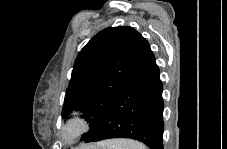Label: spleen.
Instances as JSON below:
<instances>
[{
	"mask_svg": "<svg viewBox=\"0 0 227 149\" xmlns=\"http://www.w3.org/2000/svg\"><path fill=\"white\" fill-rule=\"evenodd\" d=\"M103 149H145L142 143L130 139H115L99 143Z\"/></svg>",
	"mask_w": 227,
	"mask_h": 149,
	"instance_id": "3e777b00",
	"label": "spleen"
}]
</instances>
